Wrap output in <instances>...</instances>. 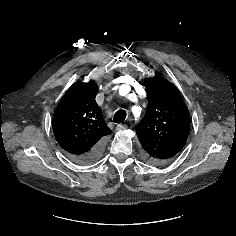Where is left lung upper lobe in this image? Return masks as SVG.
I'll list each match as a JSON object with an SVG mask.
<instances>
[{
  "label": "left lung upper lobe",
  "instance_id": "obj_1",
  "mask_svg": "<svg viewBox=\"0 0 236 236\" xmlns=\"http://www.w3.org/2000/svg\"><path fill=\"white\" fill-rule=\"evenodd\" d=\"M148 108L136 126L143 157L154 165L169 163L184 147L190 116L178 89L162 76L145 79Z\"/></svg>",
  "mask_w": 236,
  "mask_h": 236
}]
</instances>
